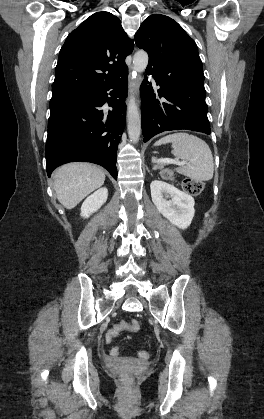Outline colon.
Listing matches in <instances>:
<instances>
[{
	"label": "colon",
	"instance_id": "5ec220e1",
	"mask_svg": "<svg viewBox=\"0 0 264 419\" xmlns=\"http://www.w3.org/2000/svg\"><path fill=\"white\" fill-rule=\"evenodd\" d=\"M162 177L165 180H172L173 179V172L169 169H165L162 171ZM183 190L190 194V195H198L202 189L203 184L199 181L193 180V179H185L182 183ZM139 322L135 319H131L128 321H123L120 323L119 328L115 329L110 332L109 337L115 336L117 333H120L122 331H130V332H136L139 330ZM138 356L141 359H148L149 353L147 351H140L138 353Z\"/></svg>",
	"mask_w": 264,
	"mask_h": 419
}]
</instances>
